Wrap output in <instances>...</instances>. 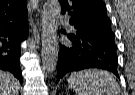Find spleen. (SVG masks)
Wrapping results in <instances>:
<instances>
[{"mask_svg": "<svg viewBox=\"0 0 135 95\" xmlns=\"http://www.w3.org/2000/svg\"><path fill=\"white\" fill-rule=\"evenodd\" d=\"M68 85L76 95H121L116 79L104 70L73 72L68 78Z\"/></svg>", "mask_w": 135, "mask_h": 95, "instance_id": "3e777b00", "label": "spleen"}]
</instances>
